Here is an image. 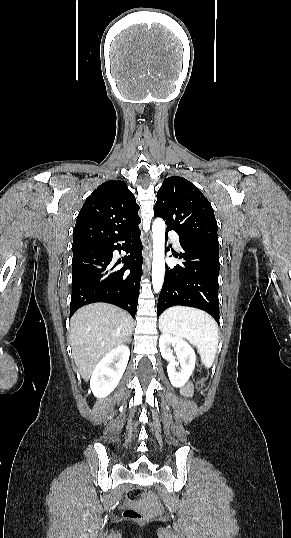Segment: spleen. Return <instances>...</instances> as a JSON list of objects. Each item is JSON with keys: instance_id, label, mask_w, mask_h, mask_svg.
I'll list each match as a JSON object with an SVG mask.
<instances>
[{"instance_id": "spleen-1", "label": "spleen", "mask_w": 291, "mask_h": 538, "mask_svg": "<svg viewBox=\"0 0 291 538\" xmlns=\"http://www.w3.org/2000/svg\"><path fill=\"white\" fill-rule=\"evenodd\" d=\"M162 332L186 338L198 348L202 363L211 367L219 342L218 325L206 312L185 306L165 310L159 318Z\"/></svg>"}]
</instances>
